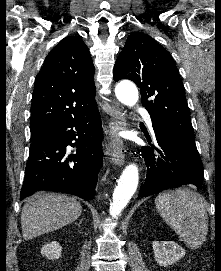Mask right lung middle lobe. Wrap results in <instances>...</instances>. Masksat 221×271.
I'll list each match as a JSON object with an SVG mask.
<instances>
[{"mask_svg":"<svg viewBox=\"0 0 221 271\" xmlns=\"http://www.w3.org/2000/svg\"><path fill=\"white\" fill-rule=\"evenodd\" d=\"M50 129H42V130H36V131H31V141L37 137L40 136L44 133H46L47 131H49Z\"/></svg>","mask_w":221,"mask_h":271,"instance_id":"obj_1","label":"right lung middle lobe"}]
</instances>
